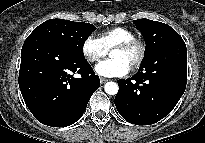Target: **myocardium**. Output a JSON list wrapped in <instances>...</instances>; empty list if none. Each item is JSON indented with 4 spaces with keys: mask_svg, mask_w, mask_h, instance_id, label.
<instances>
[{
    "mask_svg": "<svg viewBox=\"0 0 205 143\" xmlns=\"http://www.w3.org/2000/svg\"><path fill=\"white\" fill-rule=\"evenodd\" d=\"M132 48H136L138 50V55L136 60L130 66L131 70L138 69L142 63L144 62L146 56V44L139 38H132L123 42H120L111 48L113 50H129Z\"/></svg>",
    "mask_w": 205,
    "mask_h": 143,
    "instance_id": "obj_1",
    "label": "myocardium"
}]
</instances>
